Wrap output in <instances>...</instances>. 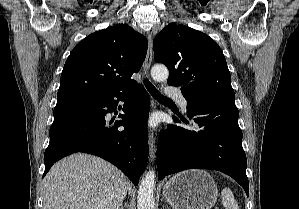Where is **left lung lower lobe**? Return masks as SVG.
<instances>
[{"instance_id":"1","label":"left lung lower lobe","mask_w":299,"mask_h":209,"mask_svg":"<svg viewBox=\"0 0 299 209\" xmlns=\"http://www.w3.org/2000/svg\"><path fill=\"white\" fill-rule=\"evenodd\" d=\"M187 112L195 130L168 125L157 146L158 179L191 168L221 171L236 180L249 195L247 159L235 100H188ZM176 122H189L173 117Z\"/></svg>"}]
</instances>
